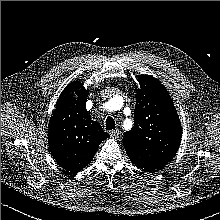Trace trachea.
Listing matches in <instances>:
<instances>
[{
  "instance_id": "3493384b",
  "label": "trachea",
  "mask_w": 220,
  "mask_h": 220,
  "mask_svg": "<svg viewBox=\"0 0 220 220\" xmlns=\"http://www.w3.org/2000/svg\"><path fill=\"white\" fill-rule=\"evenodd\" d=\"M115 129V121L112 117H108L106 119V130H113Z\"/></svg>"
}]
</instances>
